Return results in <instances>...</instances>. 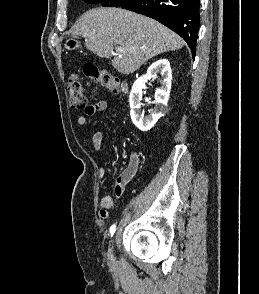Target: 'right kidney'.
Here are the masks:
<instances>
[{
    "mask_svg": "<svg viewBox=\"0 0 259 294\" xmlns=\"http://www.w3.org/2000/svg\"><path fill=\"white\" fill-rule=\"evenodd\" d=\"M158 73L161 75L162 80L161 87L157 88L155 92V107L148 116H145L144 112L141 111L142 90L145 87V83L154 78ZM171 80L170 62L167 59H159L150 65L145 75L139 77L134 82L129 97L130 115L132 122L139 130H150L158 119L164 115L171 90Z\"/></svg>",
    "mask_w": 259,
    "mask_h": 294,
    "instance_id": "right-kidney-1",
    "label": "right kidney"
}]
</instances>
